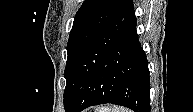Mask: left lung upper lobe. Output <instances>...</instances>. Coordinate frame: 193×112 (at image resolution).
<instances>
[{
    "mask_svg": "<svg viewBox=\"0 0 193 112\" xmlns=\"http://www.w3.org/2000/svg\"><path fill=\"white\" fill-rule=\"evenodd\" d=\"M131 0H85L70 32L64 77L68 82L79 59L94 39L129 5Z\"/></svg>",
    "mask_w": 193,
    "mask_h": 112,
    "instance_id": "left-lung-upper-lobe-1",
    "label": "left lung upper lobe"
}]
</instances>
